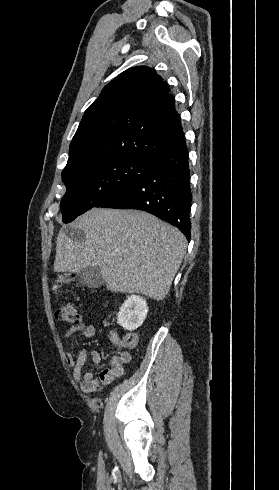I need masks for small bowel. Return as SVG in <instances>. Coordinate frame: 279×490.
<instances>
[{
    "instance_id": "c3829d8e",
    "label": "small bowel",
    "mask_w": 279,
    "mask_h": 490,
    "mask_svg": "<svg viewBox=\"0 0 279 490\" xmlns=\"http://www.w3.org/2000/svg\"><path fill=\"white\" fill-rule=\"evenodd\" d=\"M95 327L91 324L80 322L62 331V336L65 339H70L77 334H81L83 338H91L95 335ZM117 336H112V344L120 348V345L116 339ZM90 357L92 363L96 367L101 366V355L97 351H88L83 348L79 353L74 356L71 352H66L65 360L67 364L73 369V378L80 385L81 389L85 393H94L101 390L102 386L111 383L115 378L121 376L125 372V364H128L132 360L130 352L122 351L119 355L112 357L108 365L101 367L98 375L92 371H83V367L87 358Z\"/></svg>"
}]
</instances>
